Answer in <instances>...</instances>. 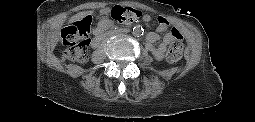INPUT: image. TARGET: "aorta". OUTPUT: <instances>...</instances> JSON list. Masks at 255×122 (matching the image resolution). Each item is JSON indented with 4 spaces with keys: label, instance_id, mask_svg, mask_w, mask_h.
<instances>
[{
    "label": "aorta",
    "instance_id": "aorta-1",
    "mask_svg": "<svg viewBox=\"0 0 255 122\" xmlns=\"http://www.w3.org/2000/svg\"><path fill=\"white\" fill-rule=\"evenodd\" d=\"M144 33V29L141 26H135L133 27L132 34L135 37L142 36Z\"/></svg>",
    "mask_w": 255,
    "mask_h": 122
}]
</instances>
